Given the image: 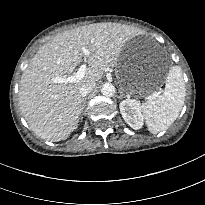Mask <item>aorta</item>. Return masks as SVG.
<instances>
[{"instance_id":"obj_1","label":"aorta","mask_w":205,"mask_h":205,"mask_svg":"<svg viewBox=\"0 0 205 205\" xmlns=\"http://www.w3.org/2000/svg\"><path fill=\"white\" fill-rule=\"evenodd\" d=\"M101 93L104 96H107V97L113 96L115 94V87H114V85L109 83V82L104 83L102 88H101Z\"/></svg>"}]
</instances>
